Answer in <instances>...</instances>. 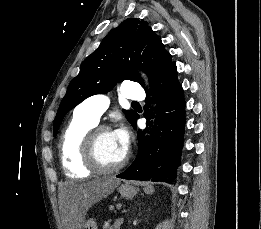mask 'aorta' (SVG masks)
Returning a JSON list of instances; mask_svg holds the SVG:
<instances>
[{
  "mask_svg": "<svg viewBox=\"0 0 261 229\" xmlns=\"http://www.w3.org/2000/svg\"><path fill=\"white\" fill-rule=\"evenodd\" d=\"M141 74H142V76H144L145 80H147V78H146L144 72H141Z\"/></svg>",
  "mask_w": 261,
  "mask_h": 229,
  "instance_id": "762f6f07",
  "label": "aorta"
}]
</instances>
